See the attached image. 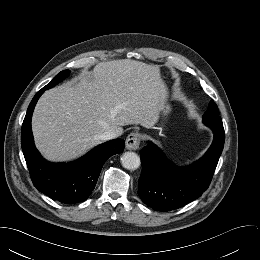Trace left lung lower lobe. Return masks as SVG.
Here are the masks:
<instances>
[{
  "label": "left lung lower lobe",
  "instance_id": "0a47b994",
  "mask_svg": "<svg viewBox=\"0 0 260 260\" xmlns=\"http://www.w3.org/2000/svg\"><path fill=\"white\" fill-rule=\"evenodd\" d=\"M214 139L205 155L189 167H177L166 159L151 142L140 151L142 173L138 195L156 211H169L197 199L209 187L222 153L225 134L223 125L205 123Z\"/></svg>",
  "mask_w": 260,
  "mask_h": 260
}]
</instances>
